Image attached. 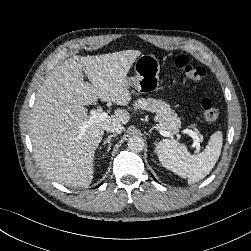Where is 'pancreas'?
<instances>
[{
	"label": "pancreas",
	"instance_id": "obj_1",
	"mask_svg": "<svg viewBox=\"0 0 251 251\" xmlns=\"http://www.w3.org/2000/svg\"><path fill=\"white\" fill-rule=\"evenodd\" d=\"M136 109H143L154 112L157 115L159 130H165L170 133H177L181 127V121L171 110L170 106L162 100L153 98H141L134 103Z\"/></svg>",
	"mask_w": 251,
	"mask_h": 251
}]
</instances>
